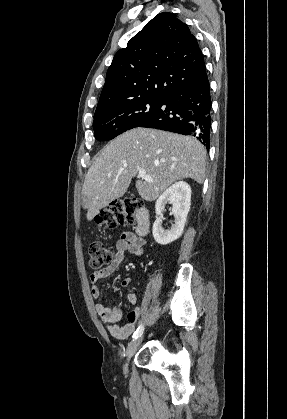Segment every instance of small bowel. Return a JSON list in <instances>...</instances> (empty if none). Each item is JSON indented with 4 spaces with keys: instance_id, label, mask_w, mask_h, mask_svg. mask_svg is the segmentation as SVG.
I'll return each mask as SVG.
<instances>
[{
    "instance_id": "small-bowel-1",
    "label": "small bowel",
    "mask_w": 287,
    "mask_h": 419,
    "mask_svg": "<svg viewBox=\"0 0 287 419\" xmlns=\"http://www.w3.org/2000/svg\"><path fill=\"white\" fill-rule=\"evenodd\" d=\"M146 244L145 239L135 235L131 231H124L120 239L116 242V253L108 265L90 276L91 281V294L94 298L100 296L99 281L113 274L124 260L125 252L129 251L136 256L143 254V249ZM130 278H124L121 281V286L126 287L130 284ZM129 303L135 304L138 296L136 293H130L127 296ZM96 312L100 319L105 324L109 334L119 340L128 338L134 331L135 326L139 320L143 307L139 306L131 311L127 316V324L119 327L117 322L121 318V311L118 308H111L104 304H97L95 306Z\"/></svg>"
}]
</instances>
